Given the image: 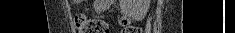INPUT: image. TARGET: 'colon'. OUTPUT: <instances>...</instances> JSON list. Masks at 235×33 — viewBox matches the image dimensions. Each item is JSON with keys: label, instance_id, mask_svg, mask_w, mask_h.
Returning a JSON list of instances; mask_svg holds the SVG:
<instances>
[{"label": "colon", "instance_id": "5ec220e1", "mask_svg": "<svg viewBox=\"0 0 235 33\" xmlns=\"http://www.w3.org/2000/svg\"><path fill=\"white\" fill-rule=\"evenodd\" d=\"M124 33H139L140 29L132 25L127 19H122ZM75 26L79 33H109L108 25L99 19L90 18L82 14L75 17Z\"/></svg>", "mask_w": 235, "mask_h": 33}]
</instances>
